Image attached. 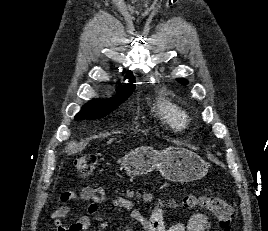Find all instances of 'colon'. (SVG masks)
<instances>
[{
  "instance_id": "1",
  "label": "colon",
  "mask_w": 268,
  "mask_h": 231,
  "mask_svg": "<svg viewBox=\"0 0 268 231\" xmlns=\"http://www.w3.org/2000/svg\"><path fill=\"white\" fill-rule=\"evenodd\" d=\"M96 165L93 155H82L74 162V167L81 177L90 175ZM182 205L187 209L200 208L212 213L218 220L221 229L229 231L232 229L234 212L226 201L219 197L201 194H187L182 199Z\"/></svg>"
}]
</instances>
